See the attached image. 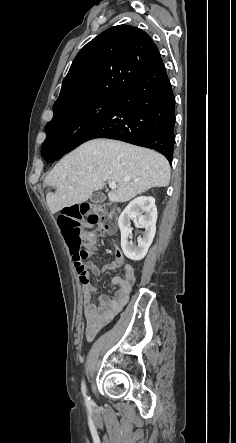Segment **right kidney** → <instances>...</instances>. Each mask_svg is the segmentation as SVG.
<instances>
[{
    "mask_svg": "<svg viewBox=\"0 0 236 443\" xmlns=\"http://www.w3.org/2000/svg\"><path fill=\"white\" fill-rule=\"evenodd\" d=\"M144 213V215H143ZM145 231L134 245L132 239L131 220H137ZM157 208L151 196H140L132 200L121 213L118 224L121 231V247L125 256L139 261L145 257L156 233Z\"/></svg>",
    "mask_w": 236,
    "mask_h": 443,
    "instance_id": "obj_1",
    "label": "right kidney"
}]
</instances>
